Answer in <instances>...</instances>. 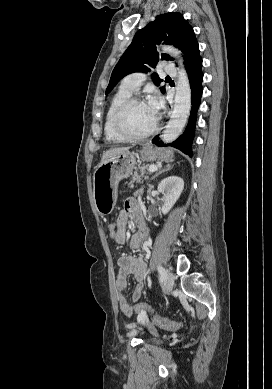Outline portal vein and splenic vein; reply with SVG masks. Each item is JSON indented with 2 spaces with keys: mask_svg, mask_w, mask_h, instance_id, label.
Wrapping results in <instances>:
<instances>
[{
  "mask_svg": "<svg viewBox=\"0 0 272 389\" xmlns=\"http://www.w3.org/2000/svg\"><path fill=\"white\" fill-rule=\"evenodd\" d=\"M158 167L156 165H151L149 167V172H154V171H157Z\"/></svg>",
  "mask_w": 272,
  "mask_h": 389,
  "instance_id": "1",
  "label": "portal vein and splenic vein"
}]
</instances>
